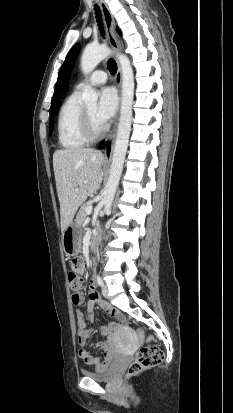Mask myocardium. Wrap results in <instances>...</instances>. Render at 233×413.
Here are the masks:
<instances>
[{"mask_svg":"<svg viewBox=\"0 0 233 413\" xmlns=\"http://www.w3.org/2000/svg\"><path fill=\"white\" fill-rule=\"evenodd\" d=\"M81 131L89 142L100 139L104 134L103 127L96 126L86 108L82 110Z\"/></svg>","mask_w":233,"mask_h":413,"instance_id":"obj_1","label":"myocardium"}]
</instances>
